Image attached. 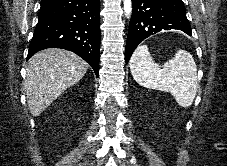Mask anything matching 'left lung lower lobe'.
<instances>
[{
  "instance_id": "0a47b994",
  "label": "left lung lower lobe",
  "mask_w": 227,
  "mask_h": 166,
  "mask_svg": "<svg viewBox=\"0 0 227 166\" xmlns=\"http://www.w3.org/2000/svg\"><path fill=\"white\" fill-rule=\"evenodd\" d=\"M132 16L129 25L125 61L147 37L163 30H181L191 36L182 0H132Z\"/></svg>"
}]
</instances>
